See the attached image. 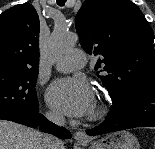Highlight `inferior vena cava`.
<instances>
[{"label":"inferior vena cava","mask_w":155,"mask_h":149,"mask_svg":"<svg viewBox=\"0 0 155 149\" xmlns=\"http://www.w3.org/2000/svg\"><path fill=\"white\" fill-rule=\"evenodd\" d=\"M46 117L48 118V120L59 126H64L65 124V118L59 113H48ZM62 148H63V142L60 139L52 135L45 134L43 139V149H62Z\"/></svg>","instance_id":"obj_1"}]
</instances>
